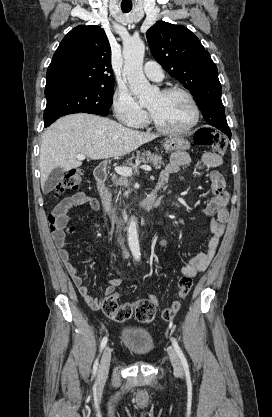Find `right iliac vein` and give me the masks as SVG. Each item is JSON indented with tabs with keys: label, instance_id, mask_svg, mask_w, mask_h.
Here are the masks:
<instances>
[{
	"label": "right iliac vein",
	"instance_id": "obj_1",
	"mask_svg": "<svg viewBox=\"0 0 272 417\" xmlns=\"http://www.w3.org/2000/svg\"><path fill=\"white\" fill-rule=\"evenodd\" d=\"M110 360H111V348L107 346L104 349V352L102 354V358L99 365V377L104 378L109 371L110 366Z\"/></svg>",
	"mask_w": 272,
	"mask_h": 417
}]
</instances>
